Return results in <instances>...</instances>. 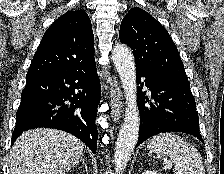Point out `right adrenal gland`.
Masks as SVG:
<instances>
[{
    "label": "right adrenal gland",
    "instance_id": "2a0ac1e0",
    "mask_svg": "<svg viewBox=\"0 0 224 174\" xmlns=\"http://www.w3.org/2000/svg\"><path fill=\"white\" fill-rule=\"evenodd\" d=\"M81 162H82V164L85 166L86 172H88V167H87V164H86V162H85V160H84L83 157H81V158L77 161L76 165H79Z\"/></svg>",
    "mask_w": 224,
    "mask_h": 174
}]
</instances>
